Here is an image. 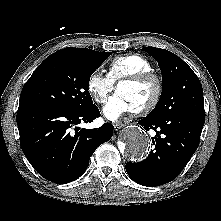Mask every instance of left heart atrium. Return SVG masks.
I'll return each mask as SVG.
<instances>
[{
    "label": "left heart atrium",
    "instance_id": "1",
    "mask_svg": "<svg viewBox=\"0 0 221 221\" xmlns=\"http://www.w3.org/2000/svg\"><path fill=\"white\" fill-rule=\"evenodd\" d=\"M133 111L134 109L131 104L120 93H116L110 97L103 107L104 116L111 121H116L124 114Z\"/></svg>",
    "mask_w": 221,
    "mask_h": 221
}]
</instances>
